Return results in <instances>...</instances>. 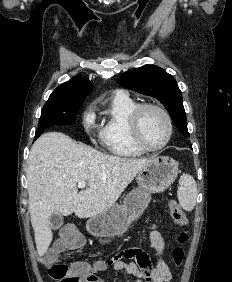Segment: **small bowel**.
Returning <instances> with one entry per match:
<instances>
[{
	"instance_id": "obj_1",
	"label": "small bowel",
	"mask_w": 232,
	"mask_h": 282,
	"mask_svg": "<svg viewBox=\"0 0 232 282\" xmlns=\"http://www.w3.org/2000/svg\"><path fill=\"white\" fill-rule=\"evenodd\" d=\"M149 242L157 255V263L154 266L149 256L138 248H131L122 251L109 261H100L95 264V270H105L112 268L117 272H123L133 281L127 279L125 282H171L172 274L165 260V241L161 233L153 229L149 233ZM129 250H138V254L129 253ZM122 258L134 259L135 262H125ZM88 282H104L100 278L91 274Z\"/></svg>"
}]
</instances>
